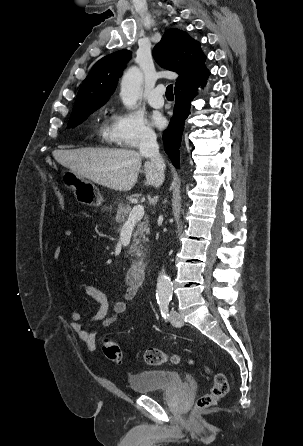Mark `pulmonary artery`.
<instances>
[{
	"label": "pulmonary artery",
	"instance_id": "obj_1",
	"mask_svg": "<svg viewBox=\"0 0 303 446\" xmlns=\"http://www.w3.org/2000/svg\"><path fill=\"white\" fill-rule=\"evenodd\" d=\"M165 88L163 85L156 86L148 95V102L154 108H161L164 105L163 93Z\"/></svg>",
	"mask_w": 303,
	"mask_h": 446
}]
</instances>
